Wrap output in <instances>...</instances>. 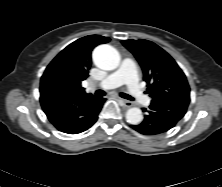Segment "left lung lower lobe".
I'll return each mask as SVG.
<instances>
[{
  "label": "left lung lower lobe",
  "instance_id": "obj_1",
  "mask_svg": "<svg viewBox=\"0 0 222 187\" xmlns=\"http://www.w3.org/2000/svg\"><path fill=\"white\" fill-rule=\"evenodd\" d=\"M189 98H164L151 102L142 123L131 125L133 129L144 135H157L173 128L185 115Z\"/></svg>",
  "mask_w": 222,
  "mask_h": 187
}]
</instances>
